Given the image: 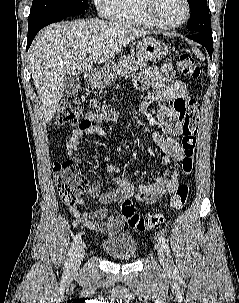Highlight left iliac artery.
I'll use <instances>...</instances> for the list:
<instances>
[{"mask_svg":"<svg viewBox=\"0 0 239 303\" xmlns=\"http://www.w3.org/2000/svg\"><path fill=\"white\" fill-rule=\"evenodd\" d=\"M158 239H159V242L161 243L162 247L164 248L165 252L170 257V248H169L168 240L162 235L158 236Z\"/></svg>","mask_w":239,"mask_h":303,"instance_id":"obj_1","label":"left iliac artery"}]
</instances>
